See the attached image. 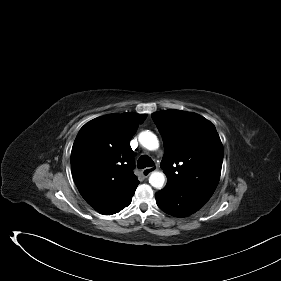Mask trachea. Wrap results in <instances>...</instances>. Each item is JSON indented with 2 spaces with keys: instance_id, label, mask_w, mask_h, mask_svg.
Segmentation results:
<instances>
[{
  "instance_id": "1",
  "label": "trachea",
  "mask_w": 281,
  "mask_h": 281,
  "mask_svg": "<svg viewBox=\"0 0 281 281\" xmlns=\"http://www.w3.org/2000/svg\"><path fill=\"white\" fill-rule=\"evenodd\" d=\"M137 166L139 169H143L146 167H152V166H154V162L149 156L143 155L138 159Z\"/></svg>"
}]
</instances>
